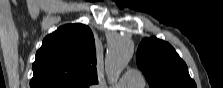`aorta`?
I'll return each instance as SVG.
<instances>
[{
    "label": "aorta",
    "instance_id": "aorta-1",
    "mask_svg": "<svg viewBox=\"0 0 223 88\" xmlns=\"http://www.w3.org/2000/svg\"><path fill=\"white\" fill-rule=\"evenodd\" d=\"M134 52L133 42L126 38H117L110 43L106 55V68L109 79L114 81L130 61Z\"/></svg>",
    "mask_w": 223,
    "mask_h": 88
}]
</instances>
